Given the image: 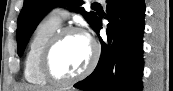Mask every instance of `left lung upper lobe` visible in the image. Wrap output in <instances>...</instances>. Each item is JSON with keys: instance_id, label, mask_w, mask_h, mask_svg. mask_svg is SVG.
<instances>
[{"instance_id": "5c2ea615", "label": "left lung upper lobe", "mask_w": 173, "mask_h": 91, "mask_svg": "<svg viewBox=\"0 0 173 91\" xmlns=\"http://www.w3.org/2000/svg\"><path fill=\"white\" fill-rule=\"evenodd\" d=\"M83 0H24V6L18 17L17 28V44L18 55L24 52V49L29 41L30 35L35 30L37 24L44 15L53 7L68 6L73 7L72 10L82 13L87 22L94 29L98 20L95 12H86L81 5Z\"/></svg>"}]
</instances>
